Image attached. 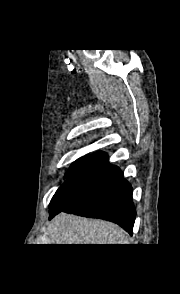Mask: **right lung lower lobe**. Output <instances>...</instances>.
Listing matches in <instances>:
<instances>
[{
	"label": "right lung lower lobe",
	"mask_w": 180,
	"mask_h": 294,
	"mask_svg": "<svg viewBox=\"0 0 180 294\" xmlns=\"http://www.w3.org/2000/svg\"><path fill=\"white\" fill-rule=\"evenodd\" d=\"M50 218L59 212L101 218L132 234L136 211L132 187L105 152L91 156L73 182L50 204Z\"/></svg>",
	"instance_id": "right-lung-lower-lobe-1"
}]
</instances>
